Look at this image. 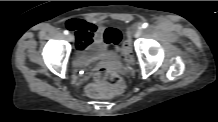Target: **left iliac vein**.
Here are the masks:
<instances>
[{
  "mask_svg": "<svg viewBox=\"0 0 218 122\" xmlns=\"http://www.w3.org/2000/svg\"><path fill=\"white\" fill-rule=\"evenodd\" d=\"M143 34V29L142 28H138L137 31L135 32V37L139 38L141 37Z\"/></svg>",
  "mask_w": 218,
  "mask_h": 122,
  "instance_id": "left-iliac-vein-1",
  "label": "left iliac vein"
}]
</instances>
